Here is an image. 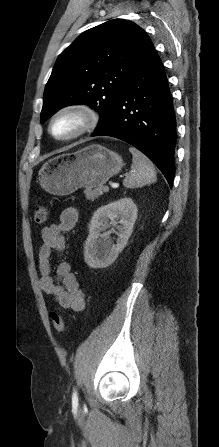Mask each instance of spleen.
<instances>
[{
    "mask_svg": "<svg viewBox=\"0 0 219 447\" xmlns=\"http://www.w3.org/2000/svg\"><path fill=\"white\" fill-rule=\"evenodd\" d=\"M132 153V171L123 181L126 188H138L156 181L153 163L140 151L130 147Z\"/></svg>",
    "mask_w": 219,
    "mask_h": 447,
    "instance_id": "1",
    "label": "spleen"
}]
</instances>
